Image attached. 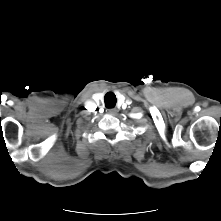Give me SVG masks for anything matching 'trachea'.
<instances>
[{
	"label": "trachea",
	"mask_w": 221,
	"mask_h": 221,
	"mask_svg": "<svg viewBox=\"0 0 221 221\" xmlns=\"http://www.w3.org/2000/svg\"><path fill=\"white\" fill-rule=\"evenodd\" d=\"M104 101L107 108H113L116 105L117 99L114 93L108 92L104 97Z\"/></svg>",
	"instance_id": "1"
}]
</instances>
